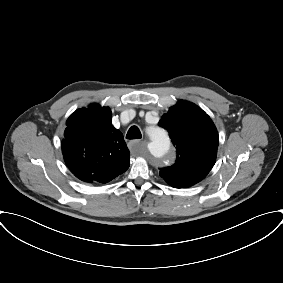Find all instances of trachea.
<instances>
[{"mask_svg":"<svg viewBox=\"0 0 283 283\" xmlns=\"http://www.w3.org/2000/svg\"><path fill=\"white\" fill-rule=\"evenodd\" d=\"M142 137L141 132L137 126H132L127 132V139H140Z\"/></svg>","mask_w":283,"mask_h":283,"instance_id":"obj_1","label":"trachea"}]
</instances>
